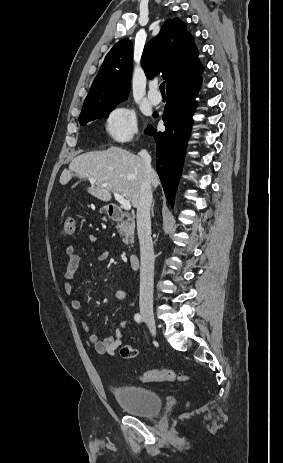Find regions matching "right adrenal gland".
Returning a JSON list of instances; mask_svg holds the SVG:
<instances>
[{
  "mask_svg": "<svg viewBox=\"0 0 283 463\" xmlns=\"http://www.w3.org/2000/svg\"><path fill=\"white\" fill-rule=\"evenodd\" d=\"M151 213H152V216H154V199H153L152 206H151Z\"/></svg>",
  "mask_w": 283,
  "mask_h": 463,
  "instance_id": "2a0ac1e0",
  "label": "right adrenal gland"
}]
</instances>
